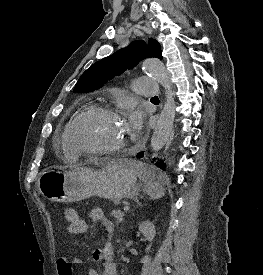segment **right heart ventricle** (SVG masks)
<instances>
[{
	"label": "right heart ventricle",
	"instance_id": "obj_1",
	"mask_svg": "<svg viewBox=\"0 0 263 275\" xmlns=\"http://www.w3.org/2000/svg\"><path fill=\"white\" fill-rule=\"evenodd\" d=\"M90 107V105H85L81 110H79L71 119L70 121L67 123L65 130H64V143H63V147H64V152L66 154V156H68L69 158H76L77 154L75 153V151L73 150V148L71 147L69 141H68V135H69V131L70 128L74 122V120L85 110H87Z\"/></svg>",
	"mask_w": 263,
	"mask_h": 275
}]
</instances>
